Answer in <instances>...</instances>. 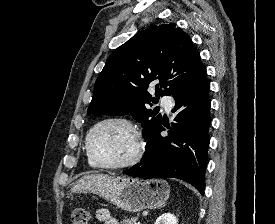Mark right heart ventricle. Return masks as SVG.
Wrapping results in <instances>:
<instances>
[{"mask_svg": "<svg viewBox=\"0 0 275 224\" xmlns=\"http://www.w3.org/2000/svg\"><path fill=\"white\" fill-rule=\"evenodd\" d=\"M86 156H87V162H88V165L92 168H95V167H98L94 162L93 160L89 157V155L87 154V151H86Z\"/></svg>", "mask_w": 275, "mask_h": 224, "instance_id": "obj_1", "label": "right heart ventricle"}]
</instances>
